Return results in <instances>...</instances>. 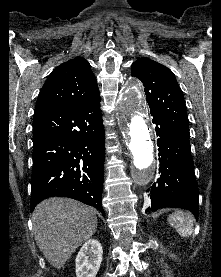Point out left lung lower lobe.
Returning <instances> with one entry per match:
<instances>
[{"label":"left lung lower lobe","mask_w":221,"mask_h":277,"mask_svg":"<svg viewBox=\"0 0 221 277\" xmlns=\"http://www.w3.org/2000/svg\"><path fill=\"white\" fill-rule=\"evenodd\" d=\"M158 136L160 169L157 182L148 189L149 208L175 207L190 210L198 219L199 190L189 140L181 137L170 125L153 115Z\"/></svg>","instance_id":"left-lung-lower-lobe-1"}]
</instances>
